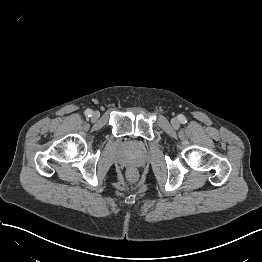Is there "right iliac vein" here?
Masks as SVG:
<instances>
[{
    "label": "right iliac vein",
    "instance_id": "1",
    "mask_svg": "<svg viewBox=\"0 0 262 262\" xmlns=\"http://www.w3.org/2000/svg\"><path fill=\"white\" fill-rule=\"evenodd\" d=\"M99 117H100V113H99L98 111H95V112L93 113V119H94V120H97Z\"/></svg>",
    "mask_w": 262,
    "mask_h": 262
}]
</instances>
